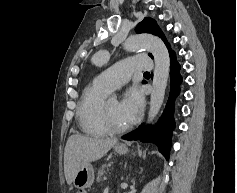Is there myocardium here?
Segmentation results:
<instances>
[{"label": "myocardium", "mask_w": 237, "mask_h": 193, "mask_svg": "<svg viewBox=\"0 0 237 193\" xmlns=\"http://www.w3.org/2000/svg\"><path fill=\"white\" fill-rule=\"evenodd\" d=\"M109 99L110 98H105L102 101L101 106H100V122L102 126L107 130L108 133H113V134H120L129 130L132 126L131 124H128L123 127H117L111 123L109 119L108 108H107Z\"/></svg>", "instance_id": "obj_1"}]
</instances>
